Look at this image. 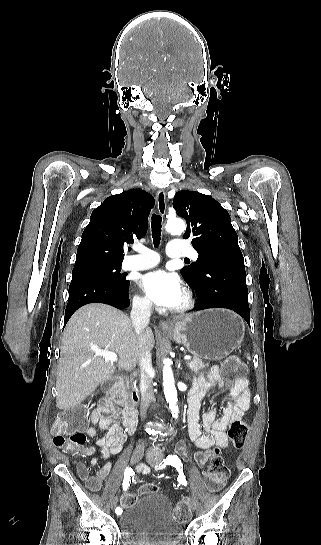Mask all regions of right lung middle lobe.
<instances>
[{
    "label": "right lung middle lobe",
    "mask_w": 321,
    "mask_h": 545,
    "mask_svg": "<svg viewBox=\"0 0 321 545\" xmlns=\"http://www.w3.org/2000/svg\"><path fill=\"white\" fill-rule=\"evenodd\" d=\"M121 264L115 265H93L79 269H73L72 276L77 275H93L98 276L116 283H126L128 280L125 279L127 274L120 273Z\"/></svg>",
    "instance_id": "obj_1"
}]
</instances>
